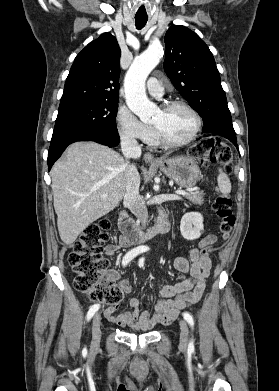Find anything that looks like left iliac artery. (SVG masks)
<instances>
[{
    "instance_id": "obj_1",
    "label": "left iliac artery",
    "mask_w": 279,
    "mask_h": 391,
    "mask_svg": "<svg viewBox=\"0 0 279 391\" xmlns=\"http://www.w3.org/2000/svg\"><path fill=\"white\" fill-rule=\"evenodd\" d=\"M143 264H144V258H141L139 260V266L140 267H143ZM183 317L184 319L188 322V324L190 325V327L193 329V326H194V321H193V318L192 316L188 313V312H184L183 313ZM189 349H194V342H193V339H191V341L189 342Z\"/></svg>"
}]
</instances>
